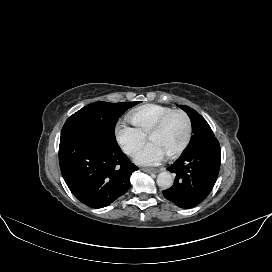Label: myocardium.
Segmentation results:
<instances>
[{"instance_id":"1","label":"myocardium","mask_w":272,"mask_h":272,"mask_svg":"<svg viewBox=\"0 0 272 272\" xmlns=\"http://www.w3.org/2000/svg\"><path fill=\"white\" fill-rule=\"evenodd\" d=\"M174 115H182L185 120H186V125H187V132H186V136L184 141L182 142V144L172 153L166 155L167 158L169 159H174L177 158L178 156H180L184 150L188 147L191 138H192V133H193V125H192V120L189 116V114L181 109H176V110H172L168 113H166L165 115H163L153 126L152 128L149 130L148 132V139L150 138V136L154 133L159 132L160 130L163 129V127L166 125V123L168 122V120L173 117Z\"/></svg>"}]
</instances>
